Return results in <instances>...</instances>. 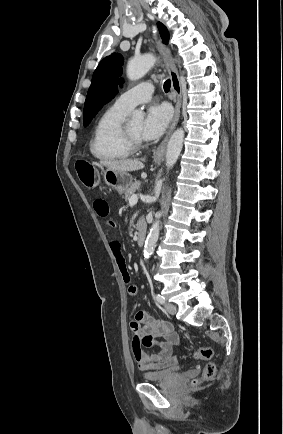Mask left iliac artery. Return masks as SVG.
<instances>
[{"label":"left iliac artery","instance_id":"1","mask_svg":"<svg viewBox=\"0 0 283 434\" xmlns=\"http://www.w3.org/2000/svg\"><path fill=\"white\" fill-rule=\"evenodd\" d=\"M154 298H155V300L158 302V303H164L165 302V298L162 296V295H160V294H156L155 296H154Z\"/></svg>","mask_w":283,"mask_h":434}]
</instances>
